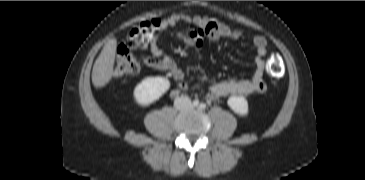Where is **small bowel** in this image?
<instances>
[{
	"mask_svg": "<svg viewBox=\"0 0 365 180\" xmlns=\"http://www.w3.org/2000/svg\"><path fill=\"white\" fill-rule=\"evenodd\" d=\"M188 23L195 26L188 31H180L177 38L189 47H200L205 40L215 41L220 38L238 39L243 32L234 29L227 24L205 16H190L183 13H175L168 18L159 21L158 33L176 27L179 23ZM158 33L149 41L151 56H143V62L156 70L166 71L180 83V88L188 89V84L184 82L185 73L179 68L176 61L166 55L158 44ZM256 56L254 59L255 71L251 79L228 80L212 84L207 96L211 100L227 98L233 95L255 96L266 91L267 85L264 81L265 60L267 53V41L262 35H255L252 38Z\"/></svg>",
	"mask_w": 365,
	"mask_h": 180,
	"instance_id": "small-bowel-1",
	"label": "small bowel"
}]
</instances>
